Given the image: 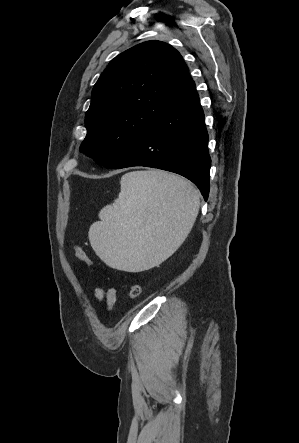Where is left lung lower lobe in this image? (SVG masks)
<instances>
[{"label":"left lung lower lobe","mask_w":299,"mask_h":443,"mask_svg":"<svg viewBox=\"0 0 299 443\" xmlns=\"http://www.w3.org/2000/svg\"><path fill=\"white\" fill-rule=\"evenodd\" d=\"M204 113L193 80L112 168L146 166L180 174L209 195L211 159Z\"/></svg>","instance_id":"1"}]
</instances>
